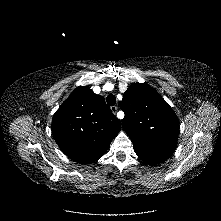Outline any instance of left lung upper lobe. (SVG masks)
I'll list each match as a JSON object with an SVG mask.
<instances>
[{"label":"left lung upper lobe","instance_id":"obj_1","mask_svg":"<svg viewBox=\"0 0 221 221\" xmlns=\"http://www.w3.org/2000/svg\"><path fill=\"white\" fill-rule=\"evenodd\" d=\"M123 129L137 156L149 165L168 159L177 145L179 120L172 108L148 84L134 83L124 93Z\"/></svg>","mask_w":221,"mask_h":221}]
</instances>
